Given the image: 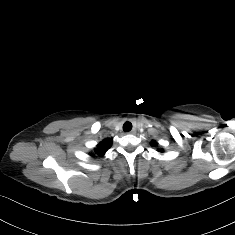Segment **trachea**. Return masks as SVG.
<instances>
[{
    "label": "trachea",
    "instance_id": "3493384b",
    "mask_svg": "<svg viewBox=\"0 0 235 235\" xmlns=\"http://www.w3.org/2000/svg\"><path fill=\"white\" fill-rule=\"evenodd\" d=\"M132 129V124L130 122H125L123 125L124 132L130 131Z\"/></svg>",
    "mask_w": 235,
    "mask_h": 235
}]
</instances>
